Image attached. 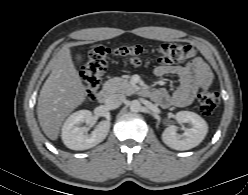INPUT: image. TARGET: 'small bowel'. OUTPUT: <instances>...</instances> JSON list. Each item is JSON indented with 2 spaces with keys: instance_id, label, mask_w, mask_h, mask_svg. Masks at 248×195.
<instances>
[{
  "instance_id": "c3829d8e",
  "label": "small bowel",
  "mask_w": 248,
  "mask_h": 195,
  "mask_svg": "<svg viewBox=\"0 0 248 195\" xmlns=\"http://www.w3.org/2000/svg\"><path fill=\"white\" fill-rule=\"evenodd\" d=\"M154 73L157 77L174 74L179 78V84L172 94L162 88L151 91L152 99L162 107H186L192 103L199 90L212 82V73L200 58L185 65H160Z\"/></svg>"
}]
</instances>
